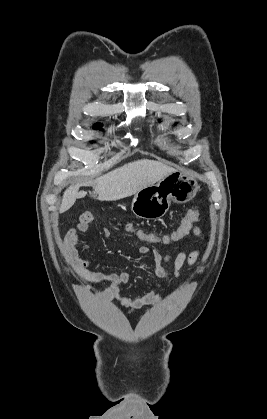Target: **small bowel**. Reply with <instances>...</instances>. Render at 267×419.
<instances>
[{
  "mask_svg": "<svg viewBox=\"0 0 267 419\" xmlns=\"http://www.w3.org/2000/svg\"><path fill=\"white\" fill-rule=\"evenodd\" d=\"M94 220L95 215L93 213L85 212L79 217L77 224L70 228L65 234L63 238V248L67 263L83 278L97 284H108L107 288L97 293V295L106 300H116L121 306L129 311H136L158 304L162 300V297L156 289H152L145 295L135 299L121 295V287L127 284L131 279V274L129 272H111L107 274L94 272L90 270V263L80 257L78 244L81 235L88 230L89 225ZM192 231L196 236L201 235V229L196 224H194ZM102 235L105 238H108L111 233L108 229H103ZM136 249L139 254L152 257L153 273L156 277L163 280L169 278L168 263L172 260L171 254L164 255L158 249L149 248L143 244H136ZM198 255L199 253L197 251L190 253L182 251L178 253L173 260L174 275L179 277L182 267L185 264L192 266L196 262Z\"/></svg>",
  "mask_w": 267,
  "mask_h": 419,
  "instance_id": "c3829d8e",
  "label": "small bowel"
}]
</instances>
